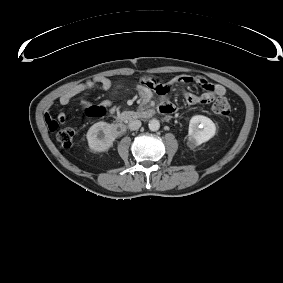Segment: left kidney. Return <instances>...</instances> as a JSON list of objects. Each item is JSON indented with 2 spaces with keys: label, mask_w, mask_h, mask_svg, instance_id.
<instances>
[{
  "label": "left kidney",
  "mask_w": 283,
  "mask_h": 283,
  "mask_svg": "<svg viewBox=\"0 0 283 283\" xmlns=\"http://www.w3.org/2000/svg\"><path fill=\"white\" fill-rule=\"evenodd\" d=\"M216 133L213 121L203 115H195L190 119L188 129L189 146H198L210 140Z\"/></svg>",
  "instance_id": "5707ae66"
}]
</instances>
